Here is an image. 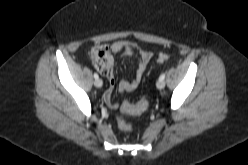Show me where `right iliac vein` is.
Returning <instances> with one entry per match:
<instances>
[{
  "label": "right iliac vein",
  "mask_w": 248,
  "mask_h": 165,
  "mask_svg": "<svg viewBox=\"0 0 248 165\" xmlns=\"http://www.w3.org/2000/svg\"><path fill=\"white\" fill-rule=\"evenodd\" d=\"M94 85H95L97 88H101L102 85H103V82H102L101 79L98 78V79H95Z\"/></svg>",
  "instance_id": "63e3f726"
}]
</instances>
